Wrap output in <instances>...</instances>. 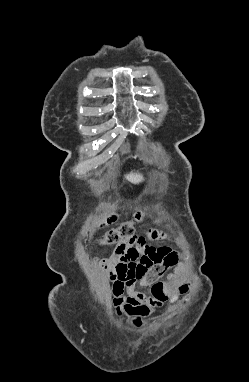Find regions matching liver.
Instances as JSON below:
<instances>
[{
    "instance_id": "1",
    "label": "liver",
    "mask_w": 249,
    "mask_h": 382,
    "mask_svg": "<svg viewBox=\"0 0 249 382\" xmlns=\"http://www.w3.org/2000/svg\"><path fill=\"white\" fill-rule=\"evenodd\" d=\"M125 177L129 182L135 184H139L144 180L143 175L138 172H130L129 174L125 175Z\"/></svg>"
}]
</instances>
